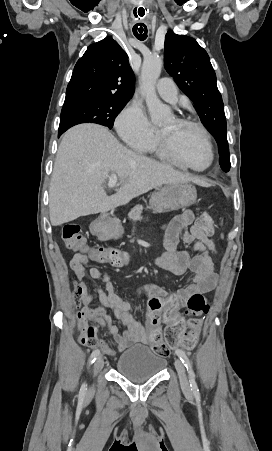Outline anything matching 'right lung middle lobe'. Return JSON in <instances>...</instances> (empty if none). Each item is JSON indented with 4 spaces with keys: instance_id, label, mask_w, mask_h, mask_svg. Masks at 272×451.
I'll list each match as a JSON object with an SVG mask.
<instances>
[{
    "instance_id": "dd1d6c3e",
    "label": "right lung middle lobe",
    "mask_w": 272,
    "mask_h": 451,
    "mask_svg": "<svg viewBox=\"0 0 272 451\" xmlns=\"http://www.w3.org/2000/svg\"><path fill=\"white\" fill-rule=\"evenodd\" d=\"M128 101L90 97L65 101L61 111L58 136L80 123H97L111 129L116 116Z\"/></svg>"
}]
</instances>
